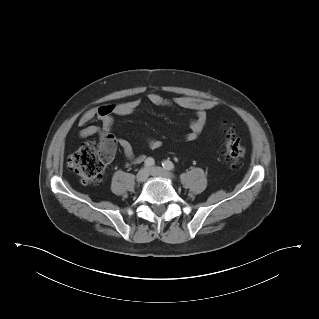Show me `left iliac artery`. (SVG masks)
I'll list each match as a JSON object with an SVG mask.
<instances>
[{"instance_id": "44dca946", "label": "left iliac artery", "mask_w": 319, "mask_h": 319, "mask_svg": "<svg viewBox=\"0 0 319 319\" xmlns=\"http://www.w3.org/2000/svg\"><path fill=\"white\" fill-rule=\"evenodd\" d=\"M162 166L166 170H174V168H175L174 164L169 160L163 161Z\"/></svg>"}]
</instances>
